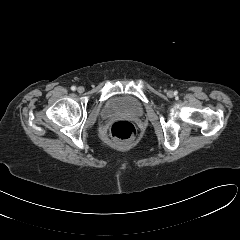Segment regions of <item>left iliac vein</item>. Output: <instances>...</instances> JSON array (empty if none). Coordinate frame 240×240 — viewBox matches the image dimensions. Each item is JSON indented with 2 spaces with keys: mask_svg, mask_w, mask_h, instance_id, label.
I'll use <instances>...</instances> for the list:
<instances>
[{
  "mask_svg": "<svg viewBox=\"0 0 240 240\" xmlns=\"http://www.w3.org/2000/svg\"><path fill=\"white\" fill-rule=\"evenodd\" d=\"M167 95H168L169 97H172V96H173V92H172V91H168V92H167Z\"/></svg>",
  "mask_w": 240,
  "mask_h": 240,
  "instance_id": "obj_1",
  "label": "left iliac vein"
}]
</instances>
